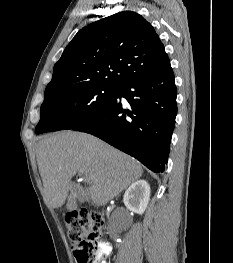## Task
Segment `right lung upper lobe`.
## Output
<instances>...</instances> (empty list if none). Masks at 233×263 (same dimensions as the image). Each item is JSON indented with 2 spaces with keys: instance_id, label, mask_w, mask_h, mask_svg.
<instances>
[{
  "instance_id": "right-lung-upper-lobe-1",
  "label": "right lung upper lobe",
  "mask_w": 233,
  "mask_h": 263,
  "mask_svg": "<svg viewBox=\"0 0 233 263\" xmlns=\"http://www.w3.org/2000/svg\"><path fill=\"white\" fill-rule=\"evenodd\" d=\"M164 45L141 15L123 11L81 29L55 64L45 98L92 85L118 87L170 68Z\"/></svg>"
}]
</instances>
